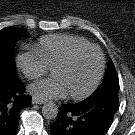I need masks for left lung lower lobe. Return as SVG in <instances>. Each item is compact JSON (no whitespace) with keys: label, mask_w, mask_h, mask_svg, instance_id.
<instances>
[{"label":"left lung lower lobe","mask_w":135,"mask_h":135,"mask_svg":"<svg viewBox=\"0 0 135 135\" xmlns=\"http://www.w3.org/2000/svg\"><path fill=\"white\" fill-rule=\"evenodd\" d=\"M118 105V96L114 94L63 104L57 120L50 124L51 135H104Z\"/></svg>","instance_id":"left-lung-lower-lobe-1"}]
</instances>
